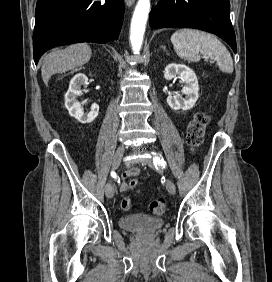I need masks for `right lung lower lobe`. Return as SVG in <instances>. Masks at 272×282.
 I'll return each mask as SVG.
<instances>
[{
    "label": "right lung lower lobe",
    "mask_w": 272,
    "mask_h": 282,
    "mask_svg": "<svg viewBox=\"0 0 272 282\" xmlns=\"http://www.w3.org/2000/svg\"><path fill=\"white\" fill-rule=\"evenodd\" d=\"M123 15V0H38L33 34L35 63L56 46L118 39Z\"/></svg>",
    "instance_id": "obj_1"
}]
</instances>
